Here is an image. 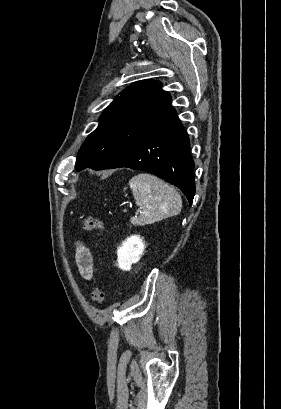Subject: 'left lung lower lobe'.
<instances>
[{
	"mask_svg": "<svg viewBox=\"0 0 281 409\" xmlns=\"http://www.w3.org/2000/svg\"><path fill=\"white\" fill-rule=\"evenodd\" d=\"M189 137L177 114L143 139L129 146L99 170L128 167L143 170L179 187L192 204L194 162Z\"/></svg>",
	"mask_w": 281,
	"mask_h": 409,
	"instance_id": "1",
	"label": "left lung lower lobe"
}]
</instances>
